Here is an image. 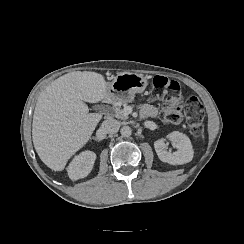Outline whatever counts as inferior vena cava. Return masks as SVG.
<instances>
[{
	"mask_svg": "<svg viewBox=\"0 0 244 244\" xmlns=\"http://www.w3.org/2000/svg\"><path fill=\"white\" fill-rule=\"evenodd\" d=\"M120 123L113 119L103 121L101 131L104 134H115L119 131Z\"/></svg>",
	"mask_w": 244,
	"mask_h": 244,
	"instance_id": "1",
	"label": "inferior vena cava"
}]
</instances>
